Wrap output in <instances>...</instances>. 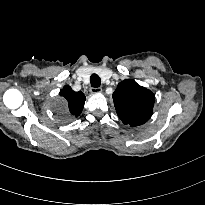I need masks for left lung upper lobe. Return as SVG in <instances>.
I'll return each instance as SVG.
<instances>
[{
  "mask_svg": "<svg viewBox=\"0 0 205 205\" xmlns=\"http://www.w3.org/2000/svg\"><path fill=\"white\" fill-rule=\"evenodd\" d=\"M118 117L131 127L146 123L154 105V94L132 79L120 82L112 95Z\"/></svg>",
  "mask_w": 205,
  "mask_h": 205,
  "instance_id": "1",
  "label": "left lung upper lobe"
}]
</instances>
